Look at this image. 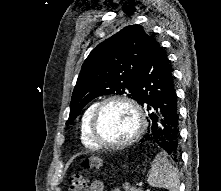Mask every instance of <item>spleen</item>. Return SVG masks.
Segmentation results:
<instances>
[{"label":"spleen","instance_id":"spleen-1","mask_svg":"<svg viewBox=\"0 0 221 191\" xmlns=\"http://www.w3.org/2000/svg\"><path fill=\"white\" fill-rule=\"evenodd\" d=\"M148 183L155 188L178 191L180 184L178 170L168 161L165 152L157 154L153 160Z\"/></svg>","mask_w":221,"mask_h":191}]
</instances>
